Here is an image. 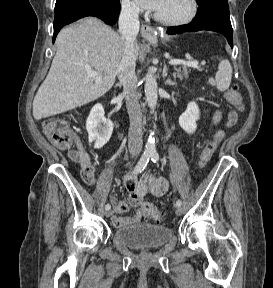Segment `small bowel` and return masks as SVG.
Listing matches in <instances>:
<instances>
[{
	"instance_id": "obj_1",
	"label": "small bowel",
	"mask_w": 273,
	"mask_h": 288,
	"mask_svg": "<svg viewBox=\"0 0 273 288\" xmlns=\"http://www.w3.org/2000/svg\"><path fill=\"white\" fill-rule=\"evenodd\" d=\"M222 119V112L216 110L212 116V125L218 124ZM237 122V113L230 111L227 115L226 126L232 127ZM70 158L80 165V173L82 180L87 185L95 184V168L94 160L91 154L83 147L81 143H77L76 148L69 152ZM125 188L128 192V203L131 207L136 208V211L132 215L120 216L127 211L128 206L124 202H120L116 199H112V207L114 215L112 217V223L116 227H122L130 224H136L141 222L144 213L140 207L143 197L150 193L155 197H161L166 194L169 188V181L165 177L146 175L140 179H137L132 174H128L125 177Z\"/></svg>"
}]
</instances>
